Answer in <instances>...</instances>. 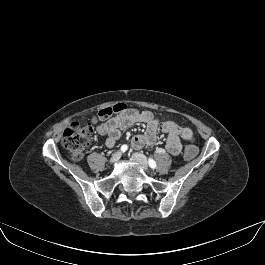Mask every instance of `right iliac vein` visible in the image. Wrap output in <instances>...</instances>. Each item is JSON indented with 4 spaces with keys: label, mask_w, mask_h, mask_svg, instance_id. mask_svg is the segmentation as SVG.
<instances>
[{
    "label": "right iliac vein",
    "mask_w": 265,
    "mask_h": 265,
    "mask_svg": "<svg viewBox=\"0 0 265 265\" xmlns=\"http://www.w3.org/2000/svg\"><path fill=\"white\" fill-rule=\"evenodd\" d=\"M121 153L120 152H116L114 153L112 156H111V159H110V163L111 164H114L116 163L120 158H121Z\"/></svg>",
    "instance_id": "obj_1"
}]
</instances>
